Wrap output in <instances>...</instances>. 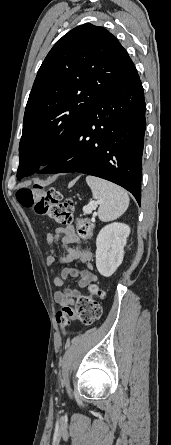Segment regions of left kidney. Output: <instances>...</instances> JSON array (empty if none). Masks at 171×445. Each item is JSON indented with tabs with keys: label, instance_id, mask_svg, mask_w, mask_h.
<instances>
[{
	"label": "left kidney",
	"instance_id": "1",
	"mask_svg": "<svg viewBox=\"0 0 171 445\" xmlns=\"http://www.w3.org/2000/svg\"><path fill=\"white\" fill-rule=\"evenodd\" d=\"M130 234L126 224L114 222L104 226L96 239V267L104 277H110L121 265L124 246Z\"/></svg>",
	"mask_w": 171,
	"mask_h": 445
}]
</instances>
